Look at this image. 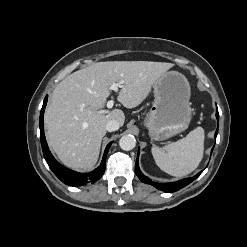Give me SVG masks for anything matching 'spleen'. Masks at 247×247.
<instances>
[{"label": "spleen", "instance_id": "1", "mask_svg": "<svg viewBox=\"0 0 247 247\" xmlns=\"http://www.w3.org/2000/svg\"><path fill=\"white\" fill-rule=\"evenodd\" d=\"M204 139V129L197 127L185 138L164 148L152 147V155L164 172L176 177L185 176L199 166L203 158Z\"/></svg>", "mask_w": 247, "mask_h": 247}]
</instances>
